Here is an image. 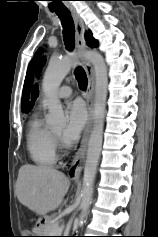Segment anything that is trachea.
I'll use <instances>...</instances> for the list:
<instances>
[{"label":"trachea","instance_id":"trachea-1","mask_svg":"<svg viewBox=\"0 0 158 237\" xmlns=\"http://www.w3.org/2000/svg\"><path fill=\"white\" fill-rule=\"evenodd\" d=\"M54 11L58 15L63 26V39H64L66 49L72 50L74 48L75 28H74L73 19L71 17V13L66 8L58 9ZM74 74L78 81L79 87L82 90H85L87 87V82H88L85 71L81 67H78L75 70Z\"/></svg>","mask_w":158,"mask_h":237}]
</instances>
